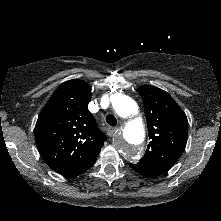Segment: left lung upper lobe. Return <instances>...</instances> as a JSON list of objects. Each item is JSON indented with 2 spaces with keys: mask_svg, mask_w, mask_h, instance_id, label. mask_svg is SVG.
I'll return each mask as SVG.
<instances>
[{
  "mask_svg": "<svg viewBox=\"0 0 221 221\" xmlns=\"http://www.w3.org/2000/svg\"><path fill=\"white\" fill-rule=\"evenodd\" d=\"M144 101L150 139L138 162L157 175L169 170L183 153L188 135L186 114L164 90L143 85L137 89Z\"/></svg>",
  "mask_w": 221,
  "mask_h": 221,
  "instance_id": "obj_1",
  "label": "left lung upper lobe"
}]
</instances>
